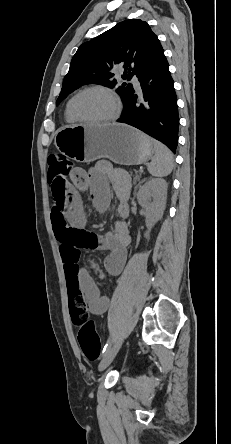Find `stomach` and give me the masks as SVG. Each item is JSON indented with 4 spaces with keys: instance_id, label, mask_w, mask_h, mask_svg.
<instances>
[{
    "instance_id": "stomach-1",
    "label": "stomach",
    "mask_w": 231,
    "mask_h": 444,
    "mask_svg": "<svg viewBox=\"0 0 231 444\" xmlns=\"http://www.w3.org/2000/svg\"><path fill=\"white\" fill-rule=\"evenodd\" d=\"M56 148L78 162L108 158L120 165H139L154 154L152 140L125 124H75L61 127Z\"/></svg>"
}]
</instances>
